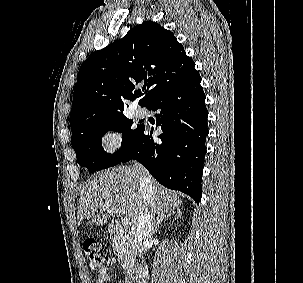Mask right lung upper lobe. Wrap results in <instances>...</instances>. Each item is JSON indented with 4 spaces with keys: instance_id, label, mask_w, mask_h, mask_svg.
<instances>
[{
    "instance_id": "obj_1",
    "label": "right lung upper lobe",
    "mask_w": 303,
    "mask_h": 283,
    "mask_svg": "<svg viewBox=\"0 0 303 283\" xmlns=\"http://www.w3.org/2000/svg\"><path fill=\"white\" fill-rule=\"evenodd\" d=\"M196 73L173 33L144 21L81 65L70 114L72 134L87 124L124 116V102L138 97L135 85L140 82L147 90L139 104L147 107Z\"/></svg>"
}]
</instances>
